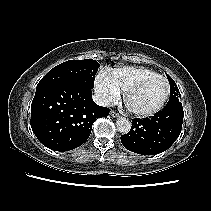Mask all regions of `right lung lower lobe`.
<instances>
[{
	"mask_svg": "<svg viewBox=\"0 0 211 211\" xmlns=\"http://www.w3.org/2000/svg\"><path fill=\"white\" fill-rule=\"evenodd\" d=\"M110 109L98 106L90 88L57 84L36 90L31 105V127L38 140L54 151H68L82 145L92 125Z\"/></svg>",
	"mask_w": 211,
	"mask_h": 211,
	"instance_id": "1",
	"label": "right lung lower lobe"
}]
</instances>
